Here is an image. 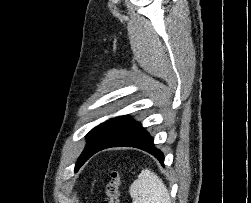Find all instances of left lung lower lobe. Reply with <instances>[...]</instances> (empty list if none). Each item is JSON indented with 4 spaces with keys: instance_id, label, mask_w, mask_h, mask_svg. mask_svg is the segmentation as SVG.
<instances>
[{
    "instance_id": "obj_1",
    "label": "left lung lower lobe",
    "mask_w": 251,
    "mask_h": 203,
    "mask_svg": "<svg viewBox=\"0 0 251 203\" xmlns=\"http://www.w3.org/2000/svg\"><path fill=\"white\" fill-rule=\"evenodd\" d=\"M110 147H134V148L144 150L152 154L155 158H157V160L164 166L163 153L159 149L155 148L153 144V138L138 122H133L122 132H120L115 137L110 139L107 143L95 149L85 159V161H87L92 155H94L98 151L106 149V148H110ZM77 170L78 169H76L75 172Z\"/></svg>"
}]
</instances>
